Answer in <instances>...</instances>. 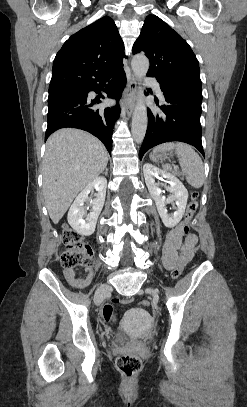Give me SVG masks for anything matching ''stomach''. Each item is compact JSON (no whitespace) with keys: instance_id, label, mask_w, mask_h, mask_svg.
<instances>
[{"instance_id":"0dacf381","label":"stomach","mask_w":247,"mask_h":407,"mask_svg":"<svg viewBox=\"0 0 247 407\" xmlns=\"http://www.w3.org/2000/svg\"><path fill=\"white\" fill-rule=\"evenodd\" d=\"M170 156H171V154L167 153L166 151L152 152L150 154V158L153 161L169 159Z\"/></svg>"}]
</instances>
